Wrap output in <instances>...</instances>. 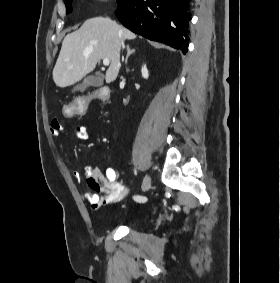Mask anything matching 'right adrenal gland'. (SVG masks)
Segmentation results:
<instances>
[{"label": "right adrenal gland", "mask_w": 280, "mask_h": 283, "mask_svg": "<svg viewBox=\"0 0 280 283\" xmlns=\"http://www.w3.org/2000/svg\"><path fill=\"white\" fill-rule=\"evenodd\" d=\"M135 53V49H130V46L127 45V55H126V58L125 60L122 58V61H125V63L127 64V61H128V58L131 54Z\"/></svg>", "instance_id": "2a0ac1e0"}]
</instances>
